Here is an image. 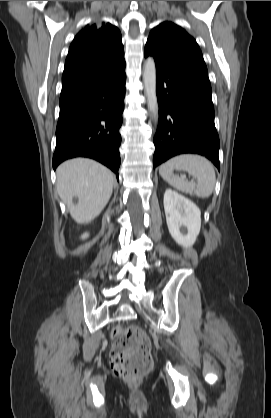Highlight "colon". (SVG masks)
<instances>
[{
  "mask_svg": "<svg viewBox=\"0 0 271 418\" xmlns=\"http://www.w3.org/2000/svg\"><path fill=\"white\" fill-rule=\"evenodd\" d=\"M114 345L110 354L113 373L127 380L145 375L153 366L150 340L138 327L114 328Z\"/></svg>",
  "mask_w": 271,
  "mask_h": 418,
  "instance_id": "1",
  "label": "colon"
}]
</instances>
